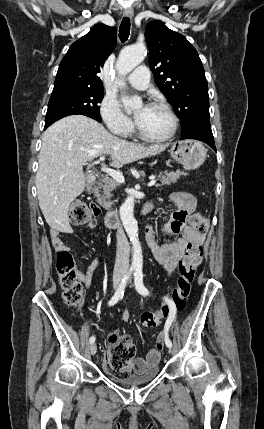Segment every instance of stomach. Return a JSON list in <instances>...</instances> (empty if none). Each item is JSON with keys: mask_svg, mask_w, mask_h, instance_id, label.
<instances>
[{"mask_svg": "<svg viewBox=\"0 0 264 429\" xmlns=\"http://www.w3.org/2000/svg\"><path fill=\"white\" fill-rule=\"evenodd\" d=\"M171 157L186 169L198 168L206 159L207 150L196 140L174 142L169 150Z\"/></svg>", "mask_w": 264, "mask_h": 429, "instance_id": "0dacf381", "label": "stomach"}]
</instances>
